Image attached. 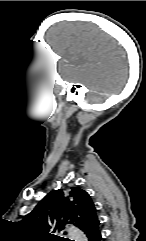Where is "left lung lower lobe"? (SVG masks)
<instances>
[{
	"label": "left lung lower lobe",
	"mask_w": 146,
	"mask_h": 241,
	"mask_svg": "<svg viewBox=\"0 0 146 241\" xmlns=\"http://www.w3.org/2000/svg\"><path fill=\"white\" fill-rule=\"evenodd\" d=\"M88 241H100L101 233L99 231V220L97 219L93 223L89 224L83 229Z\"/></svg>",
	"instance_id": "0a47b994"
}]
</instances>
